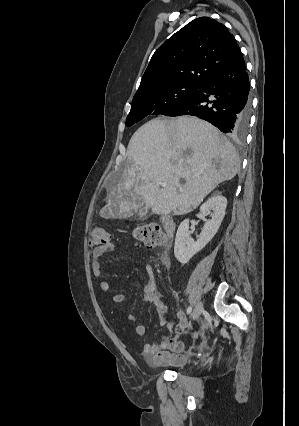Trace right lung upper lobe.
I'll use <instances>...</instances> for the list:
<instances>
[{
    "mask_svg": "<svg viewBox=\"0 0 299 426\" xmlns=\"http://www.w3.org/2000/svg\"><path fill=\"white\" fill-rule=\"evenodd\" d=\"M240 54L235 38L222 23L197 18L156 50L133 99L173 84L201 86Z\"/></svg>",
    "mask_w": 299,
    "mask_h": 426,
    "instance_id": "obj_1",
    "label": "right lung upper lobe"
}]
</instances>
